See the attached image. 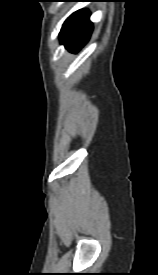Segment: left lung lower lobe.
<instances>
[{"mask_svg":"<svg viewBox=\"0 0 158 275\" xmlns=\"http://www.w3.org/2000/svg\"><path fill=\"white\" fill-rule=\"evenodd\" d=\"M89 17L90 12L87 9H81L64 22L59 37L61 44H64L69 51H79L89 40L93 30Z\"/></svg>","mask_w":158,"mask_h":275,"instance_id":"obj_1","label":"left lung lower lobe"}]
</instances>
